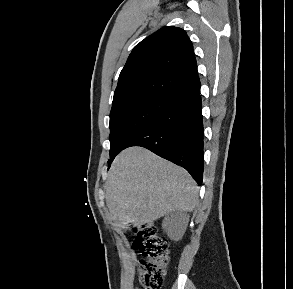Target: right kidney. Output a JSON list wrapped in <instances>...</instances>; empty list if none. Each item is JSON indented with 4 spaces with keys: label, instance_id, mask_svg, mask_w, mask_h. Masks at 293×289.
Segmentation results:
<instances>
[{
    "label": "right kidney",
    "instance_id": "ca27d5eb",
    "mask_svg": "<svg viewBox=\"0 0 293 289\" xmlns=\"http://www.w3.org/2000/svg\"><path fill=\"white\" fill-rule=\"evenodd\" d=\"M188 221L189 216L178 211L165 217L162 227L167 231V234L171 239L179 240L182 238L186 230Z\"/></svg>",
    "mask_w": 293,
    "mask_h": 289
}]
</instances>
